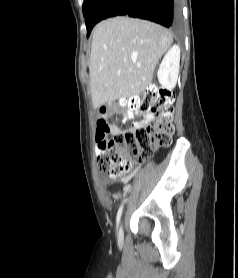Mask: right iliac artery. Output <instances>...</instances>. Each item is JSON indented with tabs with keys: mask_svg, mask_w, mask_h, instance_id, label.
I'll list each match as a JSON object with an SVG mask.
<instances>
[{
	"mask_svg": "<svg viewBox=\"0 0 238 278\" xmlns=\"http://www.w3.org/2000/svg\"><path fill=\"white\" fill-rule=\"evenodd\" d=\"M126 199L123 200V203L121 204L118 212H117V217H116V223H117V227L119 225V222H120V218H121V214H122V209H123V205L125 203Z\"/></svg>",
	"mask_w": 238,
	"mask_h": 278,
	"instance_id": "1",
	"label": "right iliac artery"
}]
</instances>
